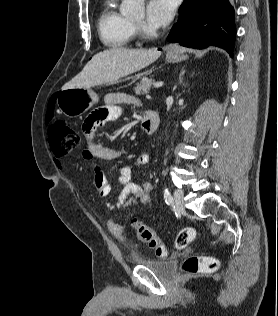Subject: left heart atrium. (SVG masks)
I'll return each mask as SVG.
<instances>
[{
    "instance_id": "obj_1",
    "label": "left heart atrium",
    "mask_w": 278,
    "mask_h": 316,
    "mask_svg": "<svg viewBox=\"0 0 278 316\" xmlns=\"http://www.w3.org/2000/svg\"><path fill=\"white\" fill-rule=\"evenodd\" d=\"M174 12V0H149L145 16L147 27L155 30L166 26L172 20Z\"/></svg>"
}]
</instances>
